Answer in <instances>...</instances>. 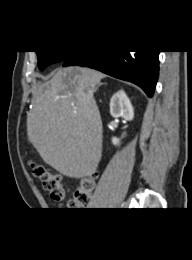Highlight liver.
Here are the masks:
<instances>
[{
	"label": "liver",
	"mask_w": 192,
	"mask_h": 260,
	"mask_svg": "<svg viewBox=\"0 0 192 260\" xmlns=\"http://www.w3.org/2000/svg\"><path fill=\"white\" fill-rule=\"evenodd\" d=\"M104 74L59 69L40 83L27 117V136L43 161L71 178L93 174L102 156V121L93 93Z\"/></svg>",
	"instance_id": "6515ba94"
}]
</instances>
